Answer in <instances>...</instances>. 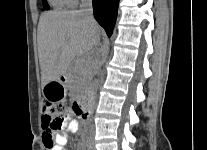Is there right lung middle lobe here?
Segmentation results:
<instances>
[{"mask_svg":"<svg viewBox=\"0 0 207 150\" xmlns=\"http://www.w3.org/2000/svg\"><path fill=\"white\" fill-rule=\"evenodd\" d=\"M42 2H43V7H44L46 10H49L50 7H49L47 1H46V0H42Z\"/></svg>","mask_w":207,"mask_h":150,"instance_id":"obj_1","label":"right lung middle lobe"}]
</instances>
